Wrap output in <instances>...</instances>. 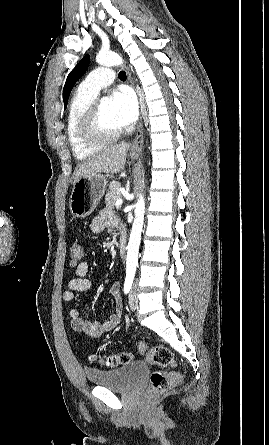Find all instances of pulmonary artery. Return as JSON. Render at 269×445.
<instances>
[{
	"instance_id": "obj_1",
	"label": "pulmonary artery",
	"mask_w": 269,
	"mask_h": 445,
	"mask_svg": "<svg viewBox=\"0 0 269 445\" xmlns=\"http://www.w3.org/2000/svg\"><path fill=\"white\" fill-rule=\"evenodd\" d=\"M114 71L107 67H99L85 78L81 83L80 89L85 93L97 96L101 89L111 85L114 82Z\"/></svg>"
}]
</instances>
